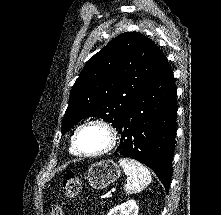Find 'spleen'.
Masks as SVG:
<instances>
[{"mask_svg": "<svg viewBox=\"0 0 221 215\" xmlns=\"http://www.w3.org/2000/svg\"><path fill=\"white\" fill-rule=\"evenodd\" d=\"M119 164L128 176V182L124 187L126 193L140 192L150 184L151 174L141 163L130 158H121Z\"/></svg>", "mask_w": 221, "mask_h": 215, "instance_id": "1", "label": "spleen"}]
</instances>
